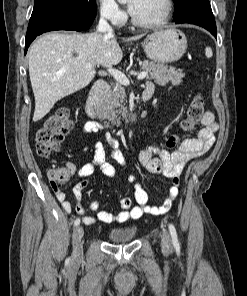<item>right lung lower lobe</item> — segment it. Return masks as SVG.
Masks as SVG:
<instances>
[{"mask_svg":"<svg viewBox=\"0 0 247 296\" xmlns=\"http://www.w3.org/2000/svg\"><path fill=\"white\" fill-rule=\"evenodd\" d=\"M95 13H71L69 6L60 4L31 16L25 41V54L31 42L40 34L53 30H87L93 23Z\"/></svg>","mask_w":247,"mask_h":296,"instance_id":"98d812e1","label":"right lung lower lobe"}]
</instances>
